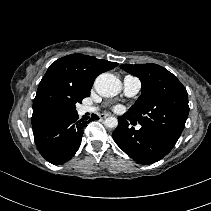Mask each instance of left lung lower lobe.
<instances>
[{
  "label": "left lung lower lobe",
  "mask_w": 211,
  "mask_h": 211,
  "mask_svg": "<svg viewBox=\"0 0 211 211\" xmlns=\"http://www.w3.org/2000/svg\"><path fill=\"white\" fill-rule=\"evenodd\" d=\"M119 124L113 132L116 144L137 163L148 165L166 156L176 144V140L163 132L143 126L140 130L129 127L132 120L127 113L118 117Z\"/></svg>",
  "instance_id": "obj_1"
}]
</instances>
